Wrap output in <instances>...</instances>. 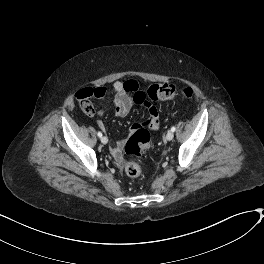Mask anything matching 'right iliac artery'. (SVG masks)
Instances as JSON below:
<instances>
[{
  "instance_id": "82829eb1",
  "label": "right iliac artery",
  "mask_w": 264,
  "mask_h": 264,
  "mask_svg": "<svg viewBox=\"0 0 264 264\" xmlns=\"http://www.w3.org/2000/svg\"><path fill=\"white\" fill-rule=\"evenodd\" d=\"M97 135L98 137H102V133L100 131H98Z\"/></svg>"
}]
</instances>
